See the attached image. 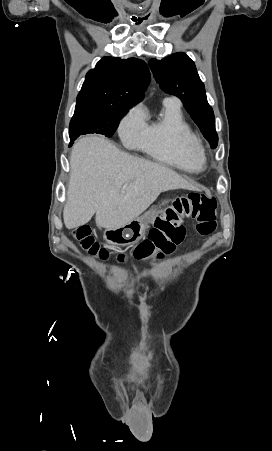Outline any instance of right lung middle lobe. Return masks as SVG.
<instances>
[{
    "mask_svg": "<svg viewBox=\"0 0 272 451\" xmlns=\"http://www.w3.org/2000/svg\"><path fill=\"white\" fill-rule=\"evenodd\" d=\"M129 108L117 105H76L69 126L70 145L80 135L88 133L111 137Z\"/></svg>",
    "mask_w": 272,
    "mask_h": 451,
    "instance_id": "obj_1",
    "label": "right lung middle lobe"
}]
</instances>
